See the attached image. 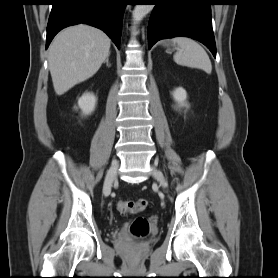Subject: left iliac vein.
Here are the masks:
<instances>
[{
  "label": "left iliac vein",
  "instance_id": "left-iliac-vein-1",
  "mask_svg": "<svg viewBox=\"0 0 278 278\" xmlns=\"http://www.w3.org/2000/svg\"><path fill=\"white\" fill-rule=\"evenodd\" d=\"M152 175L162 185V187H167V182L164 175L156 167L152 168Z\"/></svg>",
  "mask_w": 278,
  "mask_h": 278
}]
</instances>
